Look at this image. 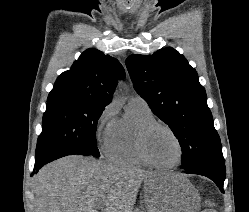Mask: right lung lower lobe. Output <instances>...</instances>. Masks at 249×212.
I'll return each mask as SVG.
<instances>
[{
    "label": "right lung lower lobe",
    "mask_w": 249,
    "mask_h": 212,
    "mask_svg": "<svg viewBox=\"0 0 249 212\" xmlns=\"http://www.w3.org/2000/svg\"><path fill=\"white\" fill-rule=\"evenodd\" d=\"M79 153L80 151L78 150H70V149H60V150L46 152L40 156H36L34 170L38 171L42 166H44L48 162H51L58 158H61L67 155L79 154Z\"/></svg>",
    "instance_id": "right-lung-lower-lobe-1"
}]
</instances>
